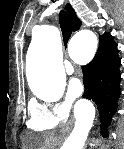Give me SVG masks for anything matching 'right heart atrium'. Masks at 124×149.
<instances>
[{
	"label": "right heart atrium",
	"mask_w": 124,
	"mask_h": 149,
	"mask_svg": "<svg viewBox=\"0 0 124 149\" xmlns=\"http://www.w3.org/2000/svg\"><path fill=\"white\" fill-rule=\"evenodd\" d=\"M70 111L68 101L46 103L33 101L30 105L29 125L37 130H50L56 128Z\"/></svg>",
	"instance_id": "d8ad5b80"
}]
</instances>
